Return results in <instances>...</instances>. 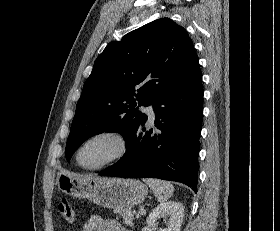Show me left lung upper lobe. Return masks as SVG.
Here are the masks:
<instances>
[{
    "mask_svg": "<svg viewBox=\"0 0 280 231\" xmlns=\"http://www.w3.org/2000/svg\"><path fill=\"white\" fill-rule=\"evenodd\" d=\"M200 68L186 30L169 18L150 22L110 42L86 80L67 140L69 162L88 138L119 132L125 141L164 92Z\"/></svg>",
    "mask_w": 280,
    "mask_h": 231,
    "instance_id": "obj_1",
    "label": "left lung upper lobe"
}]
</instances>
